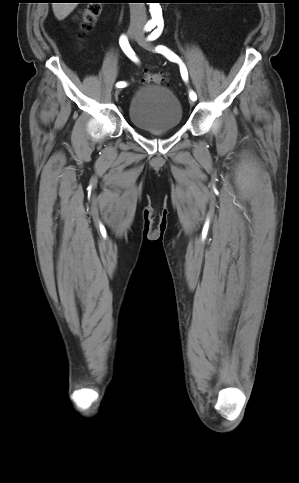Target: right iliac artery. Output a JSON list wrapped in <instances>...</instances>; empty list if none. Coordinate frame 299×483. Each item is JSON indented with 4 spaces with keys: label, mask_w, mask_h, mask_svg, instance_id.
<instances>
[{
    "label": "right iliac artery",
    "mask_w": 299,
    "mask_h": 483,
    "mask_svg": "<svg viewBox=\"0 0 299 483\" xmlns=\"http://www.w3.org/2000/svg\"><path fill=\"white\" fill-rule=\"evenodd\" d=\"M156 26L155 23H151V24H148L146 26V31H150L151 29H153L154 27ZM119 43H120V46L123 50V52L134 62H138V58L136 57L135 55V52L132 50L129 42H128V39L126 38V36H121L120 37V40H119ZM127 83L124 82V81H120L116 84L117 88H124L126 87Z\"/></svg>",
    "instance_id": "obj_1"
}]
</instances>
